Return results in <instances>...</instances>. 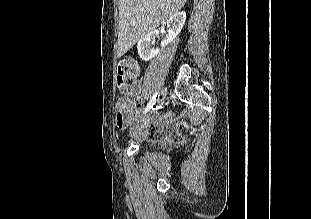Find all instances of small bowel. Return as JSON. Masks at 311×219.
<instances>
[{"label":"small bowel","mask_w":311,"mask_h":219,"mask_svg":"<svg viewBox=\"0 0 311 219\" xmlns=\"http://www.w3.org/2000/svg\"><path fill=\"white\" fill-rule=\"evenodd\" d=\"M133 92L136 96V101L130 102L128 104H124L118 101L116 106V126L121 130L126 129L131 123H133L137 119L139 115V100L141 92V85L139 82L135 83ZM172 123V119L167 118L166 116L156 115L151 118L148 125L142 127L141 136L148 135L149 128H151L152 135H159V137L166 135V138L172 139V134L169 131L164 132L165 126Z\"/></svg>","instance_id":"small-bowel-1"}]
</instances>
